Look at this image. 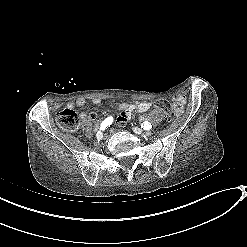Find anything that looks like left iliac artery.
<instances>
[{"mask_svg": "<svg viewBox=\"0 0 247 247\" xmlns=\"http://www.w3.org/2000/svg\"><path fill=\"white\" fill-rule=\"evenodd\" d=\"M141 128L144 130H150V129H152V125L150 122H144L141 124Z\"/></svg>", "mask_w": 247, "mask_h": 247, "instance_id": "44dca946", "label": "left iliac artery"}]
</instances>
